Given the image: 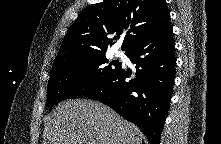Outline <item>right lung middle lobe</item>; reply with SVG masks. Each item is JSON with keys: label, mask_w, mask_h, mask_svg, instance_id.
Listing matches in <instances>:
<instances>
[{"label": "right lung middle lobe", "mask_w": 221, "mask_h": 144, "mask_svg": "<svg viewBox=\"0 0 221 144\" xmlns=\"http://www.w3.org/2000/svg\"><path fill=\"white\" fill-rule=\"evenodd\" d=\"M105 63L108 60L101 53L52 68L46 106L51 108L65 99L84 96L108 81L121 67L118 62Z\"/></svg>", "instance_id": "obj_1"}]
</instances>
